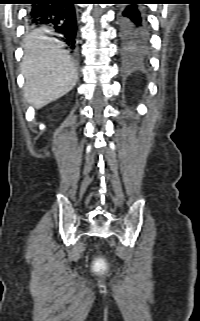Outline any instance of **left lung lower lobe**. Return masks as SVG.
Here are the masks:
<instances>
[{
	"mask_svg": "<svg viewBox=\"0 0 200 321\" xmlns=\"http://www.w3.org/2000/svg\"><path fill=\"white\" fill-rule=\"evenodd\" d=\"M149 0H120L126 4L118 12L119 34L125 52L139 54L148 47V32L138 4L148 3Z\"/></svg>",
	"mask_w": 200,
	"mask_h": 321,
	"instance_id": "1",
	"label": "left lung lower lobe"
}]
</instances>
